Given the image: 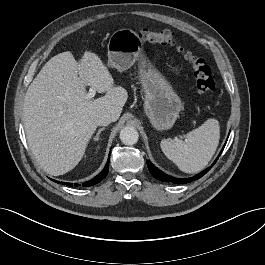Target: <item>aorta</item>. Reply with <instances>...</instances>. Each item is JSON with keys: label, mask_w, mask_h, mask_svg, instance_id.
Listing matches in <instances>:
<instances>
[{"label": "aorta", "mask_w": 265, "mask_h": 265, "mask_svg": "<svg viewBox=\"0 0 265 265\" xmlns=\"http://www.w3.org/2000/svg\"><path fill=\"white\" fill-rule=\"evenodd\" d=\"M138 138V132L134 127L126 126L120 131V140L125 145H133L137 143Z\"/></svg>", "instance_id": "762f6f07"}]
</instances>
